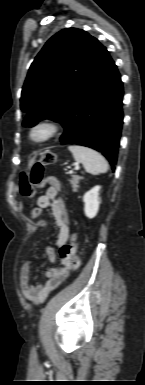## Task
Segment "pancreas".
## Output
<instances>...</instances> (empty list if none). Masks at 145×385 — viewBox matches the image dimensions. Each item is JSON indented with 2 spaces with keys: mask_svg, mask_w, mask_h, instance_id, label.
Masks as SVG:
<instances>
[{
  "mask_svg": "<svg viewBox=\"0 0 145 385\" xmlns=\"http://www.w3.org/2000/svg\"><path fill=\"white\" fill-rule=\"evenodd\" d=\"M80 180H81V177L77 175H73L72 178L70 179V183L74 192H77Z\"/></svg>",
  "mask_w": 145,
  "mask_h": 385,
  "instance_id": "pancreas-1",
  "label": "pancreas"
}]
</instances>
